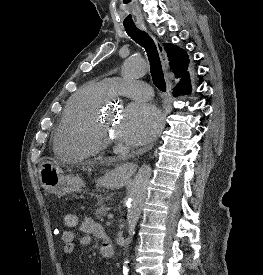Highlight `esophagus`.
Instances as JSON below:
<instances>
[{
    "label": "esophagus",
    "instance_id": "1",
    "mask_svg": "<svg viewBox=\"0 0 263 275\" xmlns=\"http://www.w3.org/2000/svg\"><path fill=\"white\" fill-rule=\"evenodd\" d=\"M140 28L146 30V27L144 25H141ZM154 42L157 46V49H158V52H159V55H160V58H161V61H162V64H163V68L166 72V81H167L166 96H167V100H169L171 98V83H170L169 76H168V73H167V70H168L167 55H166V52H165L163 46L161 45V43L158 40H156L155 38H154ZM166 106L167 105L165 104L164 111H163V116H162L163 127L165 126V119H166V116H167V112H166L167 107ZM154 144H155V141L152 144H150L147 148L143 149V151L151 149L154 146ZM119 169L124 174H126L128 176H131L135 173V171L137 169V166L133 162H126V163H123L119 167Z\"/></svg>",
    "mask_w": 263,
    "mask_h": 275
}]
</instances>
